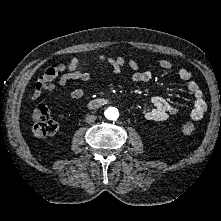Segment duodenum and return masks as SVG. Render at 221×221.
<instances>
[{
    "instance_id": "obj_1",
    "label": "duodenum",
    "mask_w": 221,
    "mask_h": 221,
    "mask_svg": "<svg viewBox=\"0 0 221 221\" xmlns=\"http://www.w3.org/2000/svg\"><path fill=\"white\" fill-rule=\"evenodd\" d=\"M105 103H106V100H104V99H95V100H91L89 102V106L90 107H98V106H101Z\"/></svg>"
}]
</instances>
